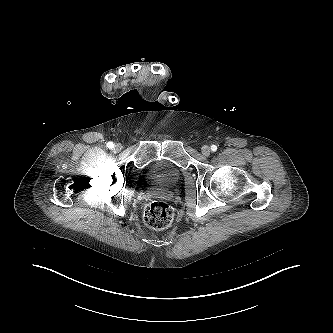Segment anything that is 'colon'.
I'll return each instance as SVG.
<instances>
[{"instance_id":"obj_1","label":"colon","mask_w":333,"mask_h":333,"mask_svg":"<svg viewBox=\"0 0 333 333\" xmlns=\"http://www.w3.org/2000/svg\"><path fill=\"white\" fill-rule=\"evenodd\" d=\"M172 207L163 201H154L148 204L144 210L145 224L156 230L167 228L173 220Z\"/></svg>"}]
</instances>
